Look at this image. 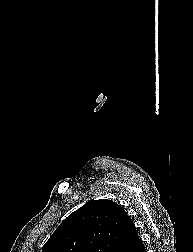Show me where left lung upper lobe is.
Returning a JSON list of instances; mask_svg holds the SVG:
<instances>
[{
  "label": "left lung upper lobe",
  "instance_id": "5c2ea615",
  "mask_svg": "<svg viewBox=\"0 0 193 252\" xmlns=\"http://www.w3.org/2000/svg\"><path fill=\"white\" fill-rule=\"evenodd\" d=\"M135 231L121 206L93 200L58 226L42 252H122Z\"/></svg>",
  "mask_w": 193,
  "mask_h": 252
}]
</instances>
